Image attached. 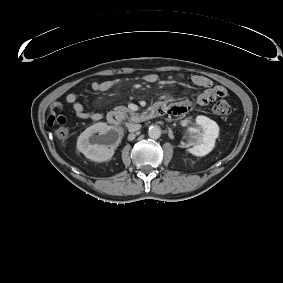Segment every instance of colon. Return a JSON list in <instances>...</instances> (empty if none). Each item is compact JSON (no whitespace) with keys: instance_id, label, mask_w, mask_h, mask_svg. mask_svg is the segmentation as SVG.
Masks as SVG:
<instances>
[{"instance_id":"obj_1","label":"colon","mask_w":283,"mask_h":283,"mask_svg":"<svg viewBox=\"0 0 283 283\" xmlns=\"http://www.w3.org/2000/svg\"><path fill=\"white\" fill-rule=\"evenodd\" d=\"M213 113L217 116H227L231 112V106L226 100H219L213 105ZM66 121L60 122L62 125L55 130L58 140L65 142L69 138V128L65 125Z\"/></svg>"}]
</instances>
